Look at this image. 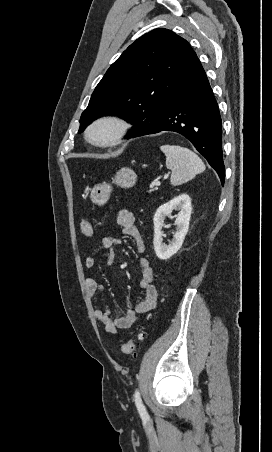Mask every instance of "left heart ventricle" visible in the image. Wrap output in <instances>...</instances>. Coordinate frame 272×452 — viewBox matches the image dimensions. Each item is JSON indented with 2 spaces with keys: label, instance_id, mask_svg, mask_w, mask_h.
I'll return each instance as SVG.
<instances>
[{
  "label": "left heart ventricle",
  "instance_id": "obj_1",
  "mask_svg": "<svg viewBox=\"0 0 272 452\" xmlns=\"http://www.w3.org/2000/svg\"><path fill=\"white\" fill-rule=\"evenodd\" d=\"M107 134H108V130L106 128H102L97 131V133L95 134V138L103 139L107 136Z\"/></svg>",
  "mask_w": 272,
  "mask_h": 452
}]
</instances>
